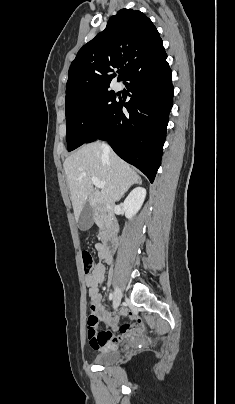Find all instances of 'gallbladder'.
I'll list each match as a JSON object with an SVG mask.
<instances>
[{"mask_svg": "<svg viewBox=\"0 0 235 404\" xmlns=\"http://www.w3.org/2000/svg\"><path fill=\"white\" fill-rule=\"evenodd\" d=\"M80 230L86 231L93 225V213L89 202H86L77 221Z\"/></svg>", "mask_w": 235, "mask_h": 404, "instance_id": "obj_1", "label": "gallbladder"}]
</instances>
